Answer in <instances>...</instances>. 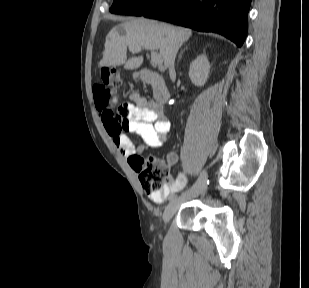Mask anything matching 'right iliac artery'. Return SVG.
Segmentation results:
<instances>
[{
    "label": "right iliac artery",
    "mask_w": 309,
    "mask_h": 288,
    "mask_svg": "<svg viewBox=\"0 0 309 288\" xmlns=\"http://www.w3.org/2000/svg\"><path fill=\"white\" fill-rule=\"evenodd\" d=\"M177 197V194L175 192H170V200H175V198Z\"/></svg>",
    "instance_id": "82829eb1"
}]
</instances>
